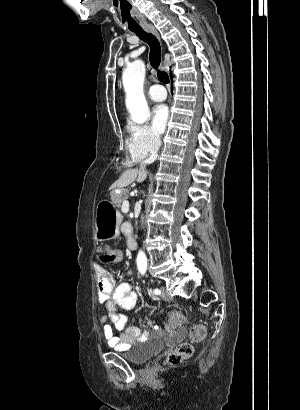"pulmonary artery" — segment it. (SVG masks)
<instances>
[{"mask_svg":"<svg viewBox=\"0 0 300 410\" xmlns=\"http://www.w3.org/2000/svg\"><path fill=\"white\" fill-rule=\"evenodd\" d=\"M148 96L153 101H163L167 97L166 90L161 85H153L148 90Z\"/></svg>","mask_w":300,"mask_h":410,"instance_id":"obj_1","label":"pulmonary artery"}]
</instances>
